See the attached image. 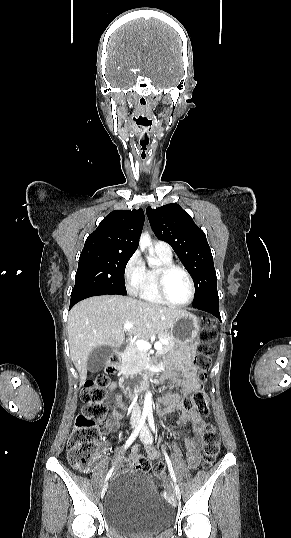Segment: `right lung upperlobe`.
<instances>
[{
  "instance_id": "right-lung-upper-lobe-1",
  "label": "right lung upper lobe",
  "mask_w": 291,
  "mask_h": 538,
  "mask_svg": "<svg viewBox=\"0 0 291 538\" xmlns=\"http://www.w3.org/2000/svg\"><path fill=\"white\" fill-rule=\"evenodd\" d=\"M143 224L142 209L112 211L87 237L82 252L110 251L133 254L138 248Z\"/></svg>"
}]
</instances>
